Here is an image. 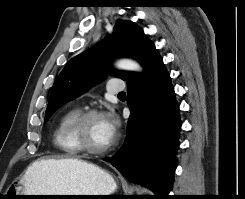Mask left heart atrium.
Here are the masks:
<instances>
[{
  "mask_svg": "<svg viewBox=\"0 0 245 199\" xmlns=\"http://www.w3.org/2000/svg\"><path fill=\"white\" fill-rule=\"evenodd\" d=\"M104 117H105V127H106L108 137L112 140L117 131V126H118L117 120L113 115H107Z\"/></svg>",
  "mask_w": 245,
  "mask_h": 199,
  "instance_id": "39dd6f15",
  "label": "left heart atrium"
}]
</instances>
